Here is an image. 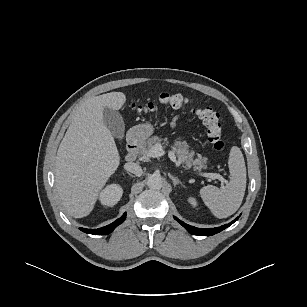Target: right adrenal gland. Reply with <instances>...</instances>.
I'll return each instance as SVG.
<instances>
[{
    "instance_id": "obj_1",
    "label": "right adrenal gland",
    "mask_w": 307,
    "mask_h": 307,
    "mask_svg": "<svg viewBox=\"0 0 307 307\" xmlns=\"http://www.w3.org/2000/svg\"><path fill=\"white\" fill-rule=\"evenodd\" d=\"M127 174H128V175H130V176H132V174H131V173H129V172H127ZM132 177H133V176H132Z\"/></svg>"
}]
</instances>
